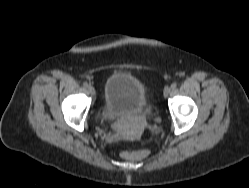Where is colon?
<instances>
[{
    "label": "colon",
    "mask_w": 249,
    "mask_h": 188,
    "mask_svg": "<svg viewBox=\"0 0 249 188\" xmlns=\"http://www.w3.org/2000/svg\"><path fill=\"white\" fill-rule=\"evenodd\" d=\"M121 156L122 158H125V159H131V158L143 157L144 154L142 152H139V153L123 152Z\"/></svg>",
    "instance_id": "colon-1"
}]
</instances>
